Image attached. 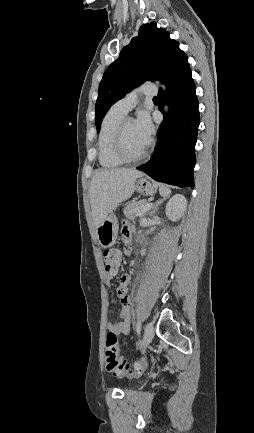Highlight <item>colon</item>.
I'll use <instances>...</instances> for the list:
<instances>
[{
  "label": "colon",
  "instance_id": "obj_1",
  "mask_svg": "<svg viewBox=\"0 0 254 433\" xmlns=\"http://www.w3.org/2000/svg\"><path fill=\"white\" fill-rule=\"evenodd\" d=\"M105 272L114 275L118 271L120 262V252L116 249H106L103 251ZM105 367L108 373L116 376H135L139 375L145 368L143 360L133 364L119 357L118 338L114 332H108L105 345Z\"/></svg>",
  "mask_w": 254,
  "mask_h": 433
}]
</instances>
